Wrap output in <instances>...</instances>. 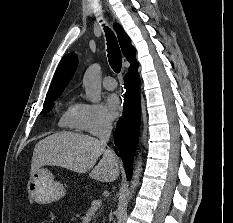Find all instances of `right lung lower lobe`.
Returning <instances> with one entry per match:
<instances>
[{
    "instance_id": "98d812e1",
    "label": "right lung lower lobe",
    "mask_w": 233,
    "mask_h": 223,
    "mask_svg": "<svg viewBox=\"0 0 233 223\" xmlns=\"http://www.w3.org/2000/svg\"><path fill=\"white\" fill-rule=\"evenodd\" d=\"M126 93L124 111L114 133L115 152L121 157L128 180L132 176V158L138 143L140 126V93L137 67L129 69L124 78Z\"/></svg>"
}]
</instances>
